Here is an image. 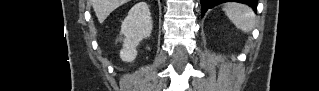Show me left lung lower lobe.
<instances>
[{
	"mask_svg": "<svg viewBox=\"0 0 319 91\" xmlns=\"http://www.w3.org/2000/svg\"><path fill=\"white\" fill-rule=\"evenodd\" d=\"M229 1L245 3V4H248L250 7H252L254 11L256 10L257 0H200L201 6H202L201 16L203 17L209 8L215 5H218L220 3L229 2Z\"/></svg>",
	"mask_w": 319,
	"mask_h": 91,
	"instance_id": "obj_1",
	"label": "left lung lower lobe"
}]
</instances>
